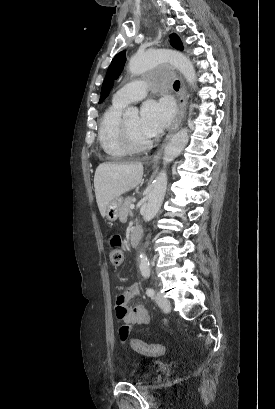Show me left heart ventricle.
Listing matches in <instances>:
<instances>
[{
    "label": "left heart ventricle",
    "mask_w": 275,
    "mask_h": 409,
    "mask_svg": "<svg viewBox=\"0 0 275 409\" xmlns=\"http://www.w3.org/2000/svg\"><path fill=\"white\" fill-rule=\"evenodd\" d=\"M128 128L132 134V137L138 144H145L151 140L146 136L140 128V119L138 116L130 117L126 120Z\"/></svg>",
    "instance_id": "b2bd125f"
}]
</instances>
